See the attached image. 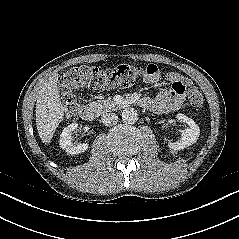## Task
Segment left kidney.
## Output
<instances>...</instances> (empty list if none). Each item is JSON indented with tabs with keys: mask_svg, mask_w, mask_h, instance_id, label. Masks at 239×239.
I'll list each match as a JSON object with an SVG mask.
<instances>
[{
	"mask_svg": "<svg viewBox=\"0 0 239 239\" xmlns=\"http://www.w3.org/2000/svg\"><path fill=\"white\" fill-rule=\"evenodd\" d=\"M177 120L185 123L188 127L181 130V138L176 142L168 143V147L173 150H181L195 143L200 135L199 126L195 121L184 114H177Z\"/></svg>",
	"mask_w": 239,
	"mask_h": 239,
	"instance_id": "obj_1",
	"label": "left kidney"
}]
</instances>
